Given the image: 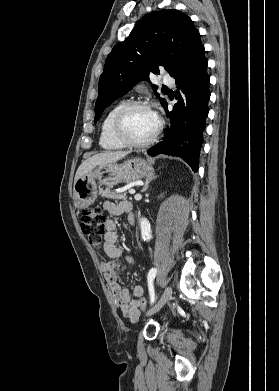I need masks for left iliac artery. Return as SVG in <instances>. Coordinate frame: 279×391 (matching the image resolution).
<instances>
[{
  "label": "left iliac artery",
  "instance_id": "left-iliac-artery-1",
  "mask_svg": "<svg viewBox=\"0 0 279 391\" xmlns=\"http://www.w3.org/2000/svg\"><path fill=\"white\" fill-rule=\"evenodd\" d=\"M156 274H157V269L156 268H152L149 271L148 277H147L151 304L154 303V301H155V293H154L153 281H154V278H155Z\"/></svg>",
  "mask_w": 279,
  "mask_h": 391
}]
</instances>
